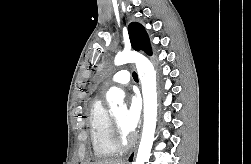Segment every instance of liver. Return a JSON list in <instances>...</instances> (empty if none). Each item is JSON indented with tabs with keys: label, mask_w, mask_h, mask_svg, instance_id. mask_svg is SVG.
Here are the masks:
<instances>
[{
	"label": "liver",
	"mask_w": 251,
	"mask_h": 164,
	"mask_svg": "<svg viewBox=\"0 0 251 164\" xmlns=\"http://www.w3.org/2000/svg\"><path fill=\"white\" fill-rule=\"evenodd\" d=\"M90 164H125L121 159H107L105 161H96Z\"/></svg>",
	"instance_id": "obj_1"
}]
</instances>
